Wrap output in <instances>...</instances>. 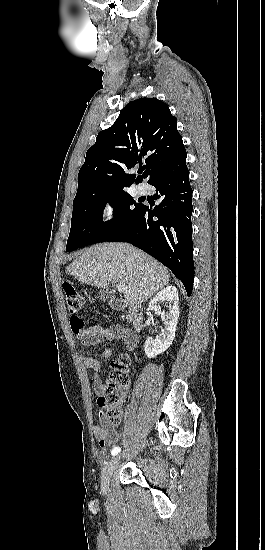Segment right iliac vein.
Instances as JSON below:
<instances>
[{
    "label": "right iliac vein",
    "instance_id": "right-iliac-vein-1",
    "mask_svg": "<svg viewBox=\"0 0 265 550\" xmlns=\"http://www.w3.org/2000/svg\"><path fill=\"white\" fill-rule=\"evenodd\" d=\"M121 459V456H115L113 457L110 462L108 463V465L105 467L103 473H102V477H101V481H102V486L104 488H106L108 485H109V482H110V479L112 477V474L113 472L115 471V469L117 468L118 464H119V461Z\"/></svg>",
    "mask_w": 265,
    "mask_h": 550
}]
</instances>
